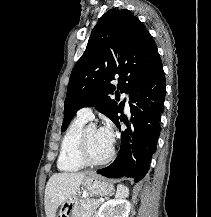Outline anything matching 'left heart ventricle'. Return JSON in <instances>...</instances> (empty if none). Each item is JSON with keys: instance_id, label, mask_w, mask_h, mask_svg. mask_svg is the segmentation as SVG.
<instances>
[{"instance_id": "1", "label": "left heart ventricle", "mask_w": 211, "mask_h": 217, "mask_svg": "<svg viewBox=\"0 0 211 217\" xmlns=\"http://www.w3.org/2000/svg\"><path fill=\"white\" fill-rule=\"evenodd\" d=\"M88 151L92 158L102 159L108 155L111 147L100 135L99 130L90 128L87 134Z\"/></svg>"}]
</instances>
